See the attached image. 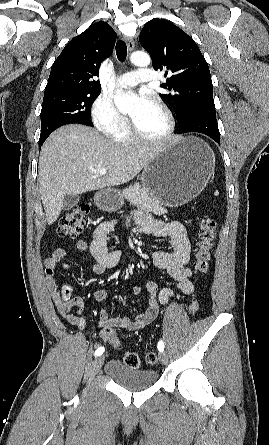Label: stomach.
<instances>
[{
  "mask_svg": "<svg viewBox=\"0 0 269 445\" xmlns=\"http://www.w3.org/2000/svg\"><path fill=\"white\" fill-rule=\"evenodd\" d=\"M215 167L212 149L193 136L178 137L144 167L143 188L166 207L187 204L205 188ZM96 206L107 212L119 210L124 199L119 190L108 188L94 196Z\"/></svg>",
  "mask_w": 269,
  "mask_h": 445,
  "instance_id": "0dacf381",
  "label": "stomach"
}]
</instances>
